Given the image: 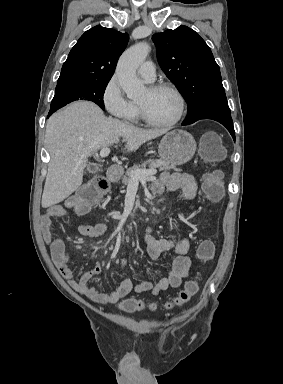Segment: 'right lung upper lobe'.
Listing matches in <instances>:
<instances>
[{"mask_svg":"<svg viewBox=\"0 0 283 384\" xmlns=\"http://www.w3.org/2000/svg\"><path fill=\"white\" fill-rule=\"evenodd\" d=\"M128 39L127 33L102 26L86 31L63 64L57 86L109 81Z\"/></svg>","mask_w":283,"mask_h":384,"instance_id":"1","label":"right lung upper lobe"}]
</instances>
